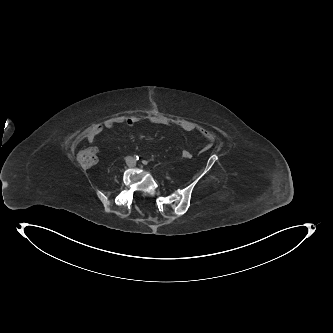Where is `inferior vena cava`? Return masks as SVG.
Masks as SVG:
<instances>
[{
    "label": "inferior vena cava",
    "mask_w": 333,
    "mask_h": 333,
    "mask_svg": "<svg viewBox=\"0 0 333 333\" xmlns=\"http://www.w3.org/2000/svg\"><path fill=\"white\" fill-rule=\"evenodd\" d=\"M125 162L129 167H131L135 164V159L132 156H126L125 157Z\"/></svg>",
    "instance_id": "1"
}]
</instances>
